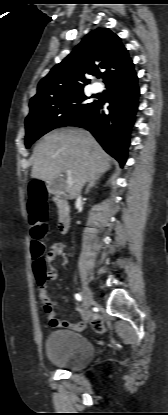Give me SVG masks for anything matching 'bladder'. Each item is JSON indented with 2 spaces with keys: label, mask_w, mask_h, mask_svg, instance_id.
<instances>
[{
  "label": "bladder",
  "mask_w": 168,
  "mask_h": 415,
  "mask_svg": "<svg viewBox=\"0 0 168 415\" xmlns=\"http://www.w3.org/2000/svg\"><path fill=\"white\" fill-rule=\"evenodd\" d=\"M45 348L51 364L69 371L85 368L94 357L92 344L80 333L70 330L52 331Z\"/></svg>",
  "instance_id": "obj_1"
}]
</instances>
